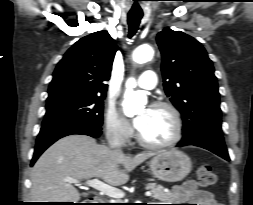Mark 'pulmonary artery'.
I'll return each instance as SVG.
<instances>
[{
    "instance_id": "obj_1",
    "label": "pulmonary artery",
    "mask_w": 253,
    "mask_h": 205,
    "mask_svg": "<svg viewBox=\"0 0 253 205\" xmlns=\"http://www.w3.org/2000/svg\"><path fill=\"white\" fill-rule=\"evenodd\" d=\"M157 84V75L152 70L144 71L138 79L137 85L142 89H153Z\"/></svg>"
}]
</instances>
